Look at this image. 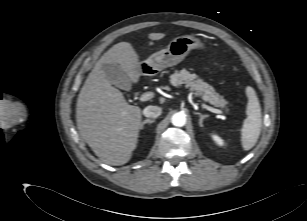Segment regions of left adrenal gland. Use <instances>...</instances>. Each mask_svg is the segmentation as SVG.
I'll list each match as a JSON object with an SVG mask.
<instances>
[{
    "label": "left adrenal gland",
    "instance_id": "a2214340",
    "mask_svg": "<svg viewBox=\"0 0 307 221\" xmlns=\"http://www.w3.org/2000/svg\"><path fill=\"white\" fill-rule=\"evenodd\" d=\"M195 114L199 115V117H200L199 118V126L203 127V121H204L205 118L208 117V115H204V114H202L200 112H195Z\"/></svg>",
    "mask_w": 307,
    "mask_h": 221
}]
</instances>
